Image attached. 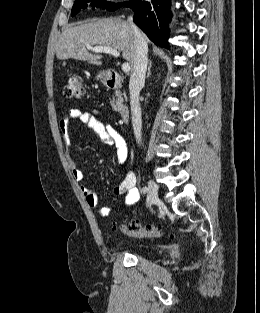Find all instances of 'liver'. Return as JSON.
Here are the masks:
<instances>
[{"label": "liver", "instance_id": "obj_1", "mask_svg": "<svg viewBox=\"0 0 260 313\" xmlns=\"http://www.w3.org/2000/svg\"><path fill=\"white\" fill-rule=\"evenodd\" d=\"M141 34L148 43L147 37ZM134 41V31L130 23L112 17L94 19L63 31L57 44L56 57L59 60L73 58L94 65H102V56L89 53L86 45L108 46L121 51L123 59L129 62L133 70Z\"/></svg>", "mask_w": 260, "mask_h": 313}]
</instances>
